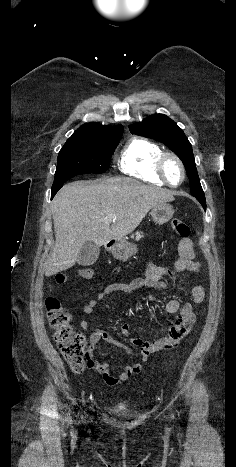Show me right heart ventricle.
<instances>
[{
	"label": "right heart ventricle",
	"instance_id": "e07e8e85",
	"mask_svg": "<svg viewBox=\"0 0 236 467\" xmlns=\"http://www.w3.org/2000/svg\"><path fill=\"white\" fill-rule=\"evenodd\" d=\"M163 153L156 143L133 138L123 148L118 159L119 170L127 175L155 185H164L156 172V163Z\"/></svg>",
	"mask_w": 236,
	"mask_h": 467
}]
</instances>
